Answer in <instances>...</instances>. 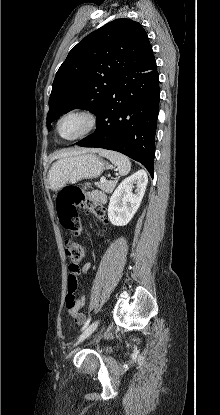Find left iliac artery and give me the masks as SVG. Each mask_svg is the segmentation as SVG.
<instances>
[{
	"instance_id": "1",
	"label": "left iliac artery",
	"mask_w": 220,
	"mask_h": 415,
	"mask_svg": "<svg viewBox=\"0 0 220 415\" xmlns=\"http://www.w3.org/2000/svg\"><path fill=\"white\" fill-rule=\"evenodd\" d=\"M90 321H91V316L87 319V321L85 322V324L82 327L81 331L84 330L85 328H87V326L90 324Z\"/></svg>"
}]
</instances>
